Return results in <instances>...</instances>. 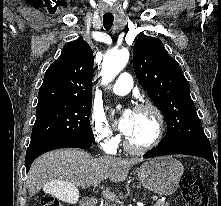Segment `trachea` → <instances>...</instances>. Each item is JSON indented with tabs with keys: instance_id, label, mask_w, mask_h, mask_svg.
<instances>
[{
	"instance_id": "3493384b",
	"label": "trachea",
	"mask_w": 221,
	"mask_h": 206,
	"mask_svg": "<svg viewBox=\"0 0 221 206\" xmlns=\"http://www.w3.org/2000/svg\"><path fill=\"white\" fill-rule=\"evenodd\" d=\"M114 17L113 15H104L103 16V25L106 30H109L113 25Z\"/></svg>"
}]
</instances>
